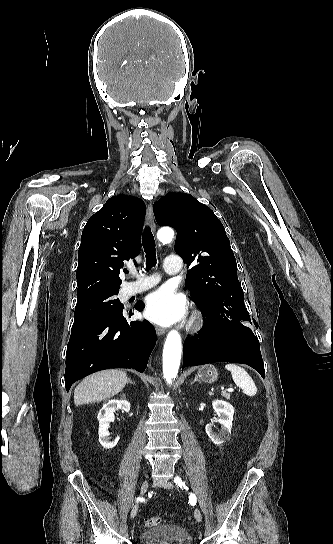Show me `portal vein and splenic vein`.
Masks as SVG:
<instances>
[{
	"label": "portal vein and splenic vein",
	"instance_id": "1",
	"mask_svg": "<svg viewBox=\"0 0 333 544\" xmlns=\"http://www.w3.org/2000/svg\"><path fill=\"white\" fill-rule=\"evenodd\" d=\"M224 390V389H223ZM225 391H233V389H225Z\"/></svg>",
	"mask_w": 333,
	"mask_h": 544
}]
</instances>
